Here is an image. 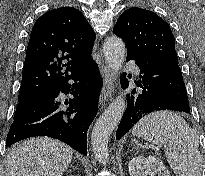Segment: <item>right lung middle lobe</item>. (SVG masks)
Returning <instances> with one entry per match:
<instances>
[{"label": "right lung middle lobe", "instance_id": "1", "mask_svg": "<svg viewBox=\"0 0 205 176\" xmlns=\"http://www.w3.org/2000/svg\"><path fill=\"white\" fill-rule=\"evenodd\" d=\"M41 95V94H40ZM40 95L18 99V105L16 108V112L14 115V119L35 99H37Z\"/></svg>", "mask_w": 205, "mask_h": 176}]
</instances>
